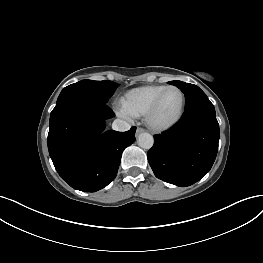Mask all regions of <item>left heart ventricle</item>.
<instances>
[{
  "label": "left heart ventricle",
  "instance_id": "1",
  "mask_svg": "<svg viewBox=\"0 0 263 263\" xmlns=\"http://www.w3.org/2000/svg\"><path fill=\"white\" fill-rule=\"evenodd\" d=\"M182 103V97L179 91L169 90L163 97L154 120L157 123H166L172 120L179 113Z\"/></svg>",
  "mask_w": 263,
  "mask_h": 263
}]
</instances>
